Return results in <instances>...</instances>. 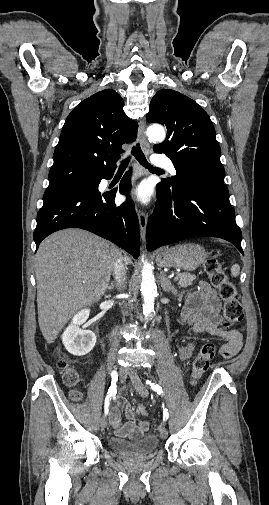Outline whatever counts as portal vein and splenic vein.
Here are the masks:
<instances>
[{
    "label": "portal vein and splenic vein",
    "instance_id": "obj_1",
    "mask_svg": "<svg viewBox=\"0 0 269 505\" xmlns=\"http://www.w3.org/2000/svg\"><path fill=\"white\" fill-rule=\"evenodd\" d=\"M174 280H178V276H176V277L174 278Z\"/></svg>",
    "mask_w": 269,
    "mask_h": 505
}]
</instances>
